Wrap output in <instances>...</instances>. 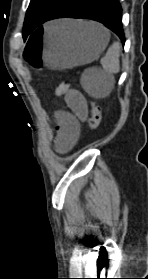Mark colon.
I'll use <instances>...</instances> for the list:
<instances>
[{
  "label": "colon",
  "mask_w": 148,
  "mask_h": 279,
  "mask_svg": "<svg viewBox=\"0 0 148 279\" xmlns=\"http://www.w3.org/2000/svg\"><path fill=\"white\" fill-rule=\"evenodd\" d=\"M71 88V85L69 83H60L56 89H55V94L58 96L64 95L66 94L69 89ZM101 110L100 108L97 106V104L93 101L90 102V114L87 117L86 123L87 126L91 129V130H96L101 122Z\"/></svg>",
  "instance_id": "5ec220e1"
}]
</instances>
